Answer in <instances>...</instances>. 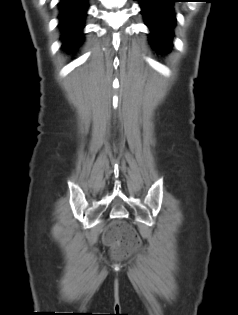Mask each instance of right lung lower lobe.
<instances>
[{
	"label": "right lung lower lobe",
	"mask_w": 238,
	"mask_h": 315,
	"mask_svg": "<svg viewBox=\"0 0 238 315\" xmlns=\"http://www.w3.org/2000/svg\"><path fill=\"white\" fill-rule=\"evenodd\" d=\"M88 7V0H60L58 3V27L64 51L73 52L83 43Z\"/></svg>",
	"instance_id": "right-lung-lower-lobe-1"
}]
</instances>
